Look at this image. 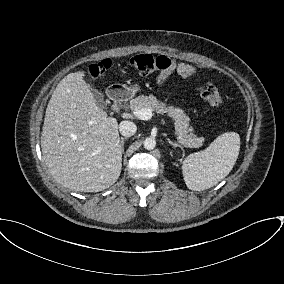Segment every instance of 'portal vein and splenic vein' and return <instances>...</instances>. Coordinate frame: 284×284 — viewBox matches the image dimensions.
Here are the masks:
<instances>
[{"label": "portal vein and splenic vein", "instance_id": "portal-vein-and-splenic-vein-1", "mask_svg": "<svg viewBox=\"0 0 284 284\" xmlns=\"http://www.w3.org/2000/svg\"><path fill=\"white\" fill-rule=\"evenodd\" d=\"M133 114L140 120H149L154 116V113L151 109H135L133 110ZM162 122L165 123V121L162 119Z\"/></svg>", "mask_w": 284, "mask_h": 284}]
</instances>
